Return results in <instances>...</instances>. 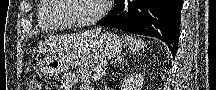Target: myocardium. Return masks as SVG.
<instances>
[{
  "label": "myocardium",
  "mask_w": 216,
  "mask_h": 90,
  "mask_svg": "<svg viewBox=\"0 0 216 90\" xmlns=\"http://www.w3.org/2000/svg\"><path fill=\"white\" fill-rule=\"evenodd\" d=\"M99 3H102L101 8L99 12L92 18L84 21H78L76 23L66 20L62 15L67 12V9L70 8V5H68V0H53V3H57V6L59 8H56V11H53L52 18H54V21L60 22L63 26L68 27L70 29L75 28H88L95 23L99 22L104 15L108 11V6L105 3V0H98Z\"/></svg>",
  "instance_id": "myocardium-1"
}]
</instances>
